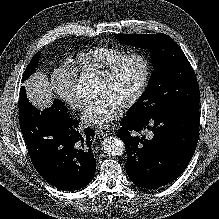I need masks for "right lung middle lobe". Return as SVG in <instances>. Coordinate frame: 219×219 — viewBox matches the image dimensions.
I'll return each instance as SVG.
<instances>
[{
	"instance_id": "1",
	"label": "right lung middle lobe",
	"mask_w": 219,
	"mask_h": 219,
	"mask_svg": "<svg viewBox=\"0 0 219 219\" xmlns=\"http://www.w3.org/2000/svg\"><path fill=\"white\" fill-rule=\"evenodd\" d=\"M39 55H40V52H37L33 56V58L31 59L30 63L28 64V66L24 72L23 80L27 79L30 75H32L35 72V68H37V66H38ZM53 104L59 108L65 109L63 102L60 101L59 99H55L53 101Z\"/></svg>"
}]
</instances>
